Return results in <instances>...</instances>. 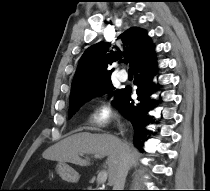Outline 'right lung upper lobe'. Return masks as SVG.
Masks as SVG:
<instances>
[{"mask_svg":"<svg viewBox=\"0 0 210 191\" xmlns=\"http://www.w3.org/2000/svg\"><path fill=\"white\" fill-rule=\"evenodd\" d=\"M151 43L147 33L137 27L130 28L117 38L114 50L103 42L89 47L79 60L72 81L70 100L86 94L111 80V65L122 56L132 66L137 56Z\"/></svg>","mask_w":210,"mask_h":191,"instance_id":"obj_1","label":"right lung upper lobe"}]
</instances>
